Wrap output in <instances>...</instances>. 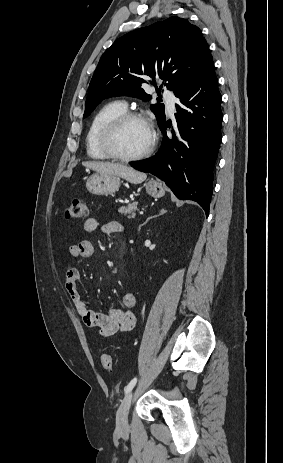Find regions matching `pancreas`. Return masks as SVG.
<instances>
[{
	"label": "pancreas",
	"instance_id": "obj_1",
	"mask_svg": "<svg viewBox=\"0 0 283 463\" xmlns=\"http://www.w3.org/2000/svg\"><path fill=\"white\" fill-rule=\"evenodd\" d=\"M138 203L137 202H134V203H131L129 204L127 207H121L119 208L118 212L127 216V218L131 219V218H135L136 217V211L138 210V207H137Z\"/></svg>",
	"mask_w": 283,
	"mask_h": 463
}]
</instances>
